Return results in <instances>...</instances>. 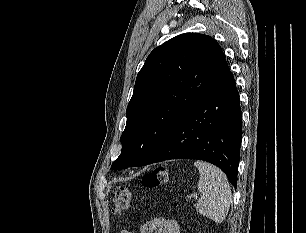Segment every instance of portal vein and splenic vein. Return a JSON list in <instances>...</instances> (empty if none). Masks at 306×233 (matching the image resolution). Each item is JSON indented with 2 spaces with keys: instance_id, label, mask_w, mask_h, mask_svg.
<instances>
[{
  "instance_id": "portal-vein-and-splenic-vein-1",
  "label": "portal vein and splenic vein",
  "mask_w": 306,
  "mask_h": 233,
  "mask_svg": "<svg viewBox=\"0 0 306 233\" xmlns=\"http://www.w3.org/2000/svg\"><path fill=\"white\" fill-rule=\"evenodd\" d=\"M193 198L197 199V198H198V196H197V195H193Z\"/></svg>"
}]
</instances>
